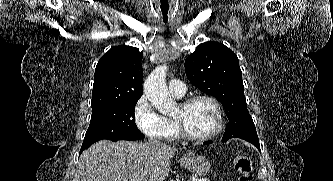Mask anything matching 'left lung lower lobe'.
Returning a JSON list of instances; mask_svg holds the SVG:
<instances>
[{
  "mask_svg": "<svg viewBox=\"0 0 333 181\" xmlns=\"http://www.w3.org/2000/svg\"><path fill=\"white\" fill-rule=\"evenodd\" d=\"M230 138H236V137H232V136L224 135L222 141H223V142H226V141H227L228 139H230ZM241 139H242V138H241ZM244 140H246V141H248V142L254 144V145L260 150L259 142L252 141L251 139H248V138H247V139H244ZM210 143H212V141L204 142V144H210Z\"/></svg>",
  "mask_w": 333,
  "mask_h": 181,
  "instance_id": "obj_1",
  "label": "left lung lower lobe"
}]
</instances>
